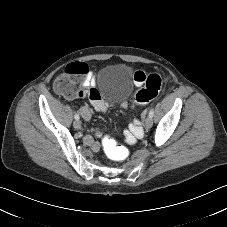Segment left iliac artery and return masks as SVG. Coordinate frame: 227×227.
I'll list each match as a JSON object with an SVG mask.
<instances>
[{
	"mask_svg": "<svg viewBox=\"0 0 227 227\" xmlns=\"http://www.w3.org/2000/svg\"><path fill=\"white\" fill-rule=\"evenodd\" d=\"M154 115V109L152 108L150 111H149V117L152 118Z\"/></svg>",
	"mask_w": 227,
	"mask_h": 227,
	"instance_id": "44dca946",
	"label": "left iliac artery"
}]
</instances>
